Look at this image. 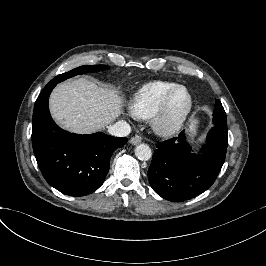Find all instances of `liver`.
Returning a JSON list of instances; mask_svg holds the SVG:
<instances>
[{"instance_id": "liver-1", "label": "liver", "mask_w": 266, "mask_h": 266, "mask_svg": "<svg viewBox=\"0 0 266 266\" xmlns=\"http://www.w3.org/2000/svg\"><path fill=\"white\" fill-rule=\"evenodd\" d=\"M122 98L113 88L79 78L58 84L50 95L55 122L73 133L91 134L105 128L120 114Z\"/></svg>"}]
</instances>
